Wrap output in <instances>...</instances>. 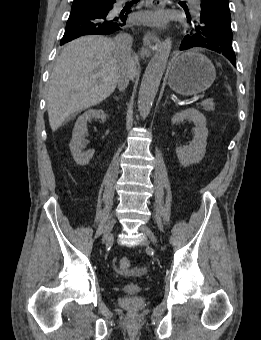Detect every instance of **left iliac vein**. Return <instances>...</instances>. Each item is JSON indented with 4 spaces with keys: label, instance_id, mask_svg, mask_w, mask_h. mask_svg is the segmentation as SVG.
I'll list each match as a JSON object with an SVG mask.
<instances>
[{
    "label": "left iliac vein",
    "instance_id": "obj_1",
    "mask_svg": "<svg viewBox=\"0 0 261 340\" xmlns=\"http://www.w3.org/2000/svg\"><path fill=\"white\" fill-rule=\"evenodd\" d=\"M139 230L146 236L148 237L153 244L157 243L156 237L153 234V232L145 225L140 226Z\"/></svg>",
    "mask_w": 261,
    "mask_h": 340
}]
</instances>
